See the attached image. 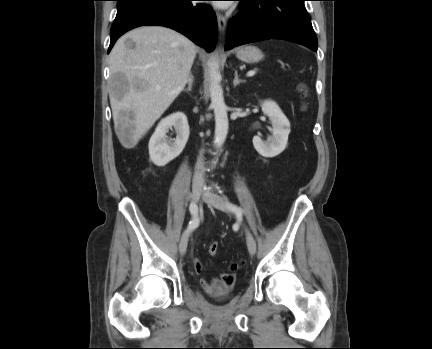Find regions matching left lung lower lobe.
I'll use <instances>...</instances> for the list:
<instances>
[{"instance_id": "0a47b994", "label": "left lung lower lobe", "mask_w": 432, "mask_h": 349, "mask_svg": "<svg viewBox=\"0 0 432 349\" xmlns=\"http://www.w3.org/2000/svg\"><path fill=\"white\" fill-rule=\"evenodd\" d=\"M243 12L227 29L226 48L282 39L317 51L318 41L303 4L306 0H239Z\"/></svg>"}]
</instances>
